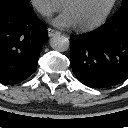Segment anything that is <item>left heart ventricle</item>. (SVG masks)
Segmentation results:
<instances>
[{
  "mask_svg": "<svg viewBox=\"0 0 128 128\" xmlns=\"http://www.w3.org/2000/svg\"><path fill=\"white\" fill-rule=\"evenodd\" d=\"M111 0H74L65 8L73 17L76 25L95 21L107 8Z\"/></svg>",
  "mask_w": 128,
  "mask_h": 128,
  "instance_id": "b2bd125f",
  "label": "left heart ventricle"
}]
</instances>
